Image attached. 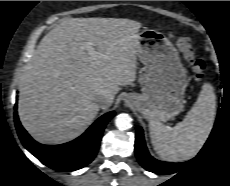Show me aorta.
Returning <instances> with one entry per match:
<instances>
[{
  "label": "aorta",
  "instance_id": "762f6f07",
  "mask_svg": "<svg viewBox=\"0 0 230 186\" xmlns=\"http://www.w3.org/2000/svg\"><path fill=\"white\" fill-rule=\"evenodd\" d=\"M115 125L119 130H127L132 126V118L126 114H119L115 119Z\"/></svg>",
  "mask_w": 230,
  "mask_h": 186
}]
</instances>
